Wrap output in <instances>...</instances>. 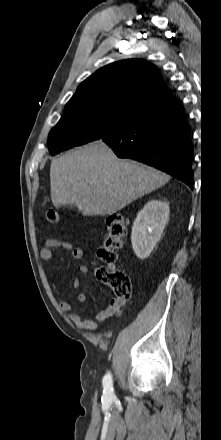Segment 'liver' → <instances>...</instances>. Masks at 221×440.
Masks as SVG:
<instances>
[{
	"label": "liver",
	"mask_w": 221,
	"mask_h": 440,
	"mask_svg": "<svg viewBox=\"0 0 221 440\" xmlns=\"http://www.w3.org/2000/svg\"><path fill=\"white\" fill-rule=\"evenodd\" d=\"M169 179L152 167L118 159L99 140L52 160L51 199L57 208L73 205L84 216H104L116 213Z\"/></svg>",
	"instance_id": "liver-1"
}]
</instances>
